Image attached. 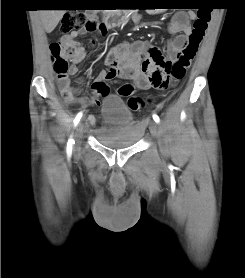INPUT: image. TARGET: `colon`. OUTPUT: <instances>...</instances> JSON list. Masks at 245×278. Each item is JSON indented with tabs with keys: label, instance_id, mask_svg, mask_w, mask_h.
Segmentation results:
<instances>
[{
	"label": "colon",
	"instance_id": "5ec220e1",
	"mask_svg": "<svg viewBox=\"0 0 245 278\" xmlns=\"http://www.w3.org/2000/svg\"><path fill=\"white\" fill-rule=\"evenodd\" d=\"M195 8L197 9L195 10L196 16L193 22V30L182 54L170 63H166L162 58L156 62V69L153 71L151 79L164 88L173 87L177 81L185 76L207 30L211 16L208 7L201 6ZM99 25V21L95 18H86L82 13L70 12L62 18L59 30L63 34H69L81 31L82 29L92 31L97 29ZM50 51L54 57V70L59 78L66 76L69 61L83 55L78 47L63 43L61 40L52 41ZM118 95L127 99V104L132 111H139L144 106L143 98L134 94L133 87L129 83L119 87ZM65 96L68 98L69 94L65 93Z\"/></svg>",
	"mask_w": 245,
	"mask_h": 278
}]
</instances>
